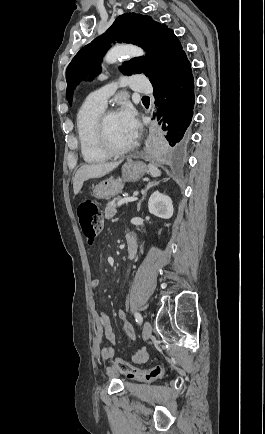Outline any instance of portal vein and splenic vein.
<instances>
[{
    "instance_id": "18ae733b",
    "label": "portal vein and splenic vein",
    "mask_w": 265,
    "mask_h": 434,
    "mask_svg": "<svg viewBox=\"0 0 265 434\" xmlns=\"http://www.w3.org/2000/svg\"><path fill=\"white\" fill-rule=\"evenodd\" d=\"M135 200H138V198H123V200H120V202H118V206H121V204H125V202H135Z\"/></svg>"
}]
</instances>
